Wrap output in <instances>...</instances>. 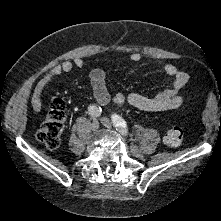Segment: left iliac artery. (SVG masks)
Segmentation results:
<instances>
[{"label":"left iliac artery","mask_w":221,"mask_h":221,"mask_svg":"<svg viewBox=\"0 0 221 221\" xmlns=\"http://www.w3.org/2000/svg\"><path fill=\"white\" fill-rule=\"evenodd\" d=\"M111 118L114 126L119 130L120 133L126 136L128 134L126 121L122 117L116 114L112 115Z\"/></svg>","instance_id":"obj_1"}]
</instances>
